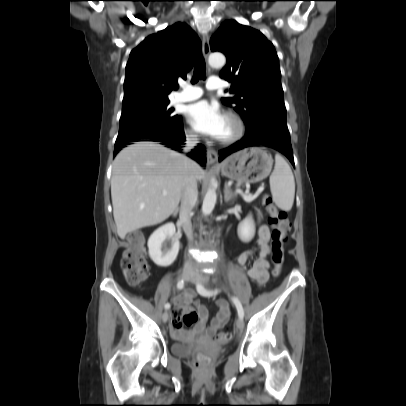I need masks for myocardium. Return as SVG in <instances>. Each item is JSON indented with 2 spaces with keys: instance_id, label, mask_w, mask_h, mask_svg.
<instances>
[{
  "instance_id": "myocardium-1",
  "label": "myocardium",
  "mask_w": 406,
  "mask_h": 406,
  "mask_svg": "<svg viewBox=\"0 0 406 406\" xmlns=\"http://www.w3.org/2000/svg\"><path fill=\"white\" fill-rule=\"evenodd\" d=\"M224 116L233 124L234 132L226 138H218V142L224 145H229L237 142L243 137L245 133V125L241 117L235 112L227 111Z\"/></svg>"
}]
</instances>
